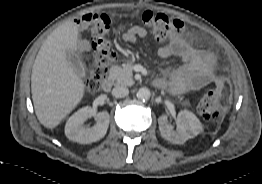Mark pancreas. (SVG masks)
<instances>
[{
    "instance_id": "cf45deb5",
    "label": "pancreas",
    "mask_w": 262,
    "mask_h": 184,
    "mask_svg": "<svg viewBox=\"0 0 262 184\" xmlns=\"http://www.w3.org/2000/svg\"><path fill=\"white\" fill-rule=\"evenodd\" d=\"M132 62L123 64L122 67L112 66L110 69V78L116 82L117 85L131 86L134 81L132 79Z\"/></svg>"
}]
</instances>
